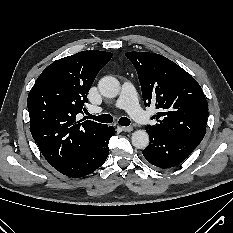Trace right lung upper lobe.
<instances>
[{
    "label": "right lung upper lobe",
    "mask_w": 233,
    "mask_h": 233,
    "mask_svg": "<svg viewBox=\"0 0 233 233\" xmlns=\"http://www.w3.org/2000/svg\"><path fill=\"white\" fill-rule=\"evenodd\" d=\"M111 57L110 52L92 50L59 59L40 74L30 90V131L54 168L84 155L107 131L108 125L77 121L76 115L83 114L89 89Z\"/></svg>",
    "instance_id": "1"
}]
</instances>
